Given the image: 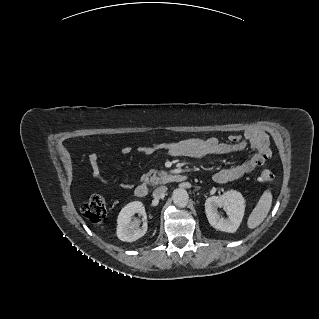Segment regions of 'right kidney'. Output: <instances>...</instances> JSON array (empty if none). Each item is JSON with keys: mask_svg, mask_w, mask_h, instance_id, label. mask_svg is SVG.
<instances>
[{"mask_svg": "<svg viewBox=\"0 0 319 319\" xmlns=\"http://www.w3.org/2000/svg\"><path fill=\"white\" fill-rule=\"evenodd\" d=\"M143 216V225L140 227V221L132 220L134 214ZM147 231L146 213L143 203L133 201L124 206L117 218V237L125 242H133L144 236Z\"/></svg>", "mask_w": 319, "mask_h": 319, "instance_id": "right-kidney-1", "label": "right kidney"}]
</instances>
